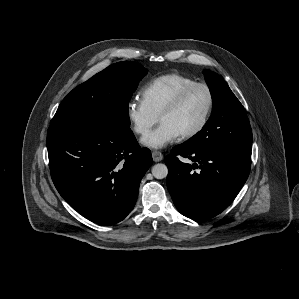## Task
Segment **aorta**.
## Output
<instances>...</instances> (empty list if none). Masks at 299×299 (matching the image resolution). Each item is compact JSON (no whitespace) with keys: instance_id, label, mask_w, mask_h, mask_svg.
<instances>
[{"instance_id":"762f6f07","label":"aorta","mask_w":299,"mask_h":299,"mask_svg":"<svg viewBox=\"0 0 299 299\" xmlns=\"http://www.w3.org/2000/svg\"><path fill=\"white\" fill-rule=\"evenodd\" d=\"M152 175L156 179H163L168 175V168L165 164L158 163L152 167Z\"/></svg>"}]
</instances>
